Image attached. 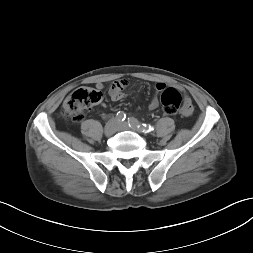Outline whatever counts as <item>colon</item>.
<instances>
[{
    "label": "colon",
    "instance_id": "1",
    "mask_svg": "<svg viewBox=\"0 0 253 253\" xmlns=\"http://www.w3.org/2000/svg\"><path fill=\"white\" fill-rule=\"evenodd\" d=\"M101 99L102 92L100 90L81 87L65 99L62 115L73 122H80L84 117V111L98 104ZM160 102L164 114L174 115L180 110L182 95L175 88H164L161 91Z\"/></svg>",
    "mask_w": 253,
    "mask_h": 253
}]
</instances>
